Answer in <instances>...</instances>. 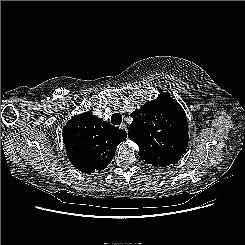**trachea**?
Listing matches in <instances>:
<instances>
[{
  "instance_id": "obj_1",
  "label": "trachea",
  "mask_w": 245,
  "mask_h": 245,
  "mask_svg": "<svg viewBox=\"0 0 245 245\" xmlns=\"http://www.w3.org/2000/svg\"><path fill=\"white\" fill-rule=\"evenodd\" d=\"M111 122L114 124V125H120L121 122H122V115L120 113H114L112 116H111Z\"/></svg>"
}]
</instances>
